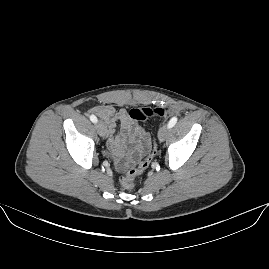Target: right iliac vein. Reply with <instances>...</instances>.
<instances>
[{"mask_svg": "<svg viewBox=\"0 0 269 269\" xmlns=\"http://www.w3.org/2000/svg\"><path fill=\"white\" fill-rule=\"evenodd\" d=\"M96 128H97V133L102 136V137H105L106 134H107V128H106V125L104 124V122L102 121H99L96 125Z\"/></svg>", "mask_w": 269, "mask_h": 269, "instance_id": "1", "label": "right iliac vein"}]
</instances>
